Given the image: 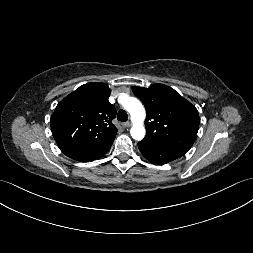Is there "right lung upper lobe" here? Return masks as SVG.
I'll use <instances>...</instances> for the list:
<instances>
[{"mask_svg": "<svg viewBox=\"0 0 253 253\" xmlns=\"http://www.w3.org/2000/svg\"><path fill=\"white\" fill-rule=\"evenodd\" d=\"M111 89L91 82L65 97L51 116V131L61 151L68 157L113 140L117 128L112 123L115 107L109 103Z\"/></svg>", "mask_w": 253, "mask_h": 253, "instance_id": "obj_1", "label": "right lung upper lobe"}]
</instances>
